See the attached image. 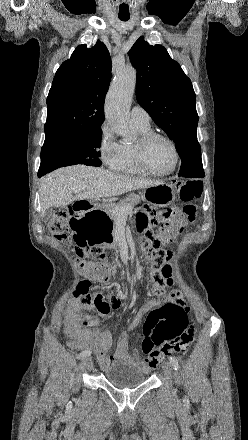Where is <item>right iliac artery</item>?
<instances>
[{"instance_id": "right-iliac-artery-1", "label": "right iliac artery", "mask_w": 248, "mask_h": 440, "mask_svg": "<svg viewBox=\"0 0 248 440\" xmlns=\"http://www.w3.org/2000/svg\"><path fill=\"white\" fill-rule=\"evenodd\" d=\"M90 355H91V352L89 350H85V351L80 352L77 355V358L81 359V358L89 357Z\"/></svg>"}]
</instances>
